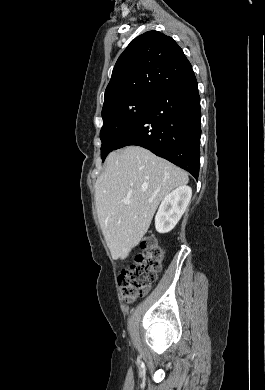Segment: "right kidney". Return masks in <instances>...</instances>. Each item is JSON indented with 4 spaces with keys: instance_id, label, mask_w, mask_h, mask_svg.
Returning <instances> with one entry per match:
<instances>
[{
    "instance_id": "ca27d5eb",
    "label": "right kidney",
    "mask_w": 265,
    "mask_h": 390,
    "mask_svg": "<svg viewBox=\"0 0 265 390\" xmlns=\"http://www.w3.org/2000/svg\"><path fill=\"white\" fill-rule=\"evenodd\" d=\"M192 196V189L183 185L162 200L155 216V228L159 233L170 232L178 223L185 212Z\"/></svg>"
}]
</instances>
